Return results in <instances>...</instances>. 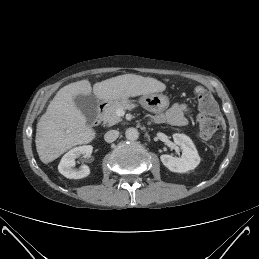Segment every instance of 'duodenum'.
Instances as JSON below:
<instances>
[{"label": "duodenum", "instance_id": "1", "mask_svg": "<svg viewBox=\"0 0 259 259\" xmlns=\"http://www.w3.org/2000/svg\"><path fill=\"white\" fill-rule=\"evenodd\" d=\"M109 102H101L99 105H98V108H97V114L94 118V125H98L101 123L102 121V115H103V112L105 111V109L109 106Z\"/></svg>", "mask_w": 259, "mask_h": 259}]
</instances>
